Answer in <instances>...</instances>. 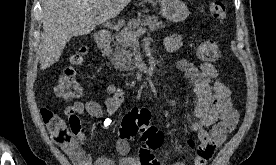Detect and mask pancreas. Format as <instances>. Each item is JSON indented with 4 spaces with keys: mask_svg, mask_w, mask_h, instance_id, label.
Returning a JSON list of instances; mask_svg holds the SVG:
<instances>
[{
    "mask_svg": "<svg viewBox=\"0 0 276 165\" xmlns=\"http://www.w3.org/2000/svg\"><path fill=\"white\" fill-rule=\"evenodd\" d=\"M148 27L150 31H156L164 28V24L158 21L155 16H143L141 18H133L127 22V26L124 27L117 35H115L116 43L114 52L108 50L104 54L110 57L111 62L115 69L120 71L132 70V56L133 54L129 50L132 40L129 39L128 35L135 32V29Z\"/></svg>",
    "mask_w": 276,
    "mask_h": 165,
    "instance_id": "1",
    "label": "pancreas"
}]
</instances>
